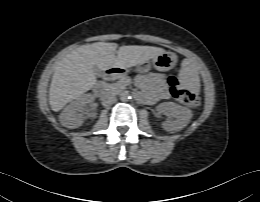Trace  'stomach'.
I'll return each instance as SVG.
<instances>
[{
	"label": "stomach",
	"mask_w": 260,
	"mask_h": 202,
	"mask_svg": "<svg viewBox=\"0 0 260 202\" xmlns=\"http://www.w3.org/2000/svg\"><path fill=\"white\" fill-rule=\"evenodd\" d=\"M177 63V56L172 52H164L150 61L140 64L142 70H148L153 66L158 71H168L172 69Z\"/></svg>",
	"instance_id": "stomach-1"
}]
</instances>
